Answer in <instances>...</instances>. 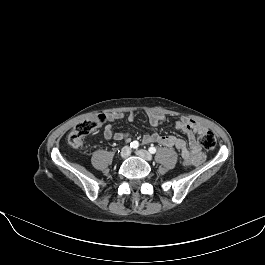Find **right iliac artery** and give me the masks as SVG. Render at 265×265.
<instances>
[{"label":"right iliac artery","instance_id":"1","mask_svg":"<svg viewBox=\"0 0 265 265\" xmlns=\"http://www.w3.org/2000/svg\"><path fill=\"white\" fill-rule=\"evenodd\" d=\"M138 146H139L138 141H133V142L130 143V147L133 148V149H136Z\"/></svg>","mask_w":265,"mask_h":265}]
</instances>
